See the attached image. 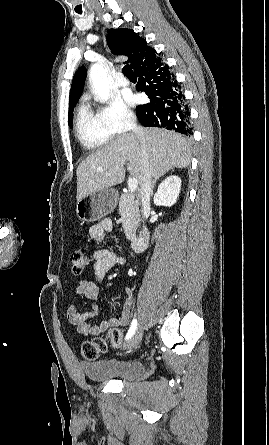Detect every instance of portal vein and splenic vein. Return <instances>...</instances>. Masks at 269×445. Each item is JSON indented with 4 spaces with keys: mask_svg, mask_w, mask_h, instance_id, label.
<instances>
[{
    "mask_svg": "<svg viewBox=\"0 0 269 445\" xmlns=\"http://www.w3.org/2000/svg\"><path fill=\"white\" fill-rule=\"evenodd\" d=\"M138 187V180L136 178H130L128 181V190L130 194H133Z\"/></svg>",
    "mask_w": 269,
    "mask_h": 445,
    "instance_id": "obj_1",
    "label": "portal vein and splenic vein"
}]
</instances>
